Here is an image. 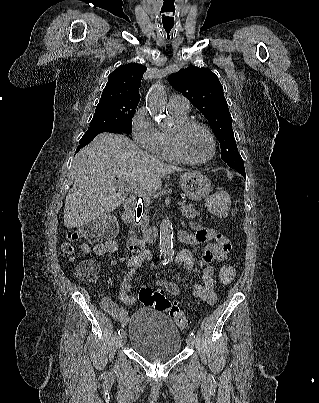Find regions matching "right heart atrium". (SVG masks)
<instances>
[{"label":"right heart atrium","instance_id":"1","mask_svg":"<svg viewBox=\"0 0 319 403\" xmlns=\"http://www.w3.org/2000/svg\"><path fill=\"white\" fill-rule=\"evenodd\" d=\"M131 134L135 143L150 154H157L159 130L150 119L147 108L139 107L131 118Z\"/></svg>","mask_w":319,"mask_h":403}]
</instances>
